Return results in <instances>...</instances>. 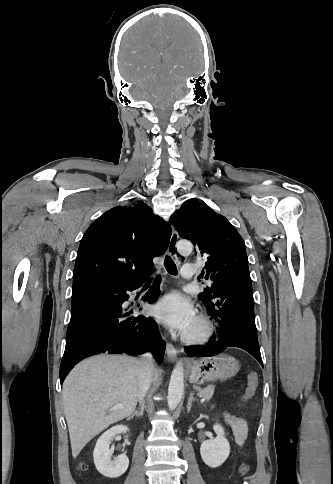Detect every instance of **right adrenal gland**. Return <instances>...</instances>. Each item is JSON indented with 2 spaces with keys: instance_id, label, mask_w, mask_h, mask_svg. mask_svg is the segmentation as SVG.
<instances>
[{
  "instance_id": "obj_1",
  "label": "right adrenal gland",
  "mask_w": 333,
  "mask_h": 484,
  "mask_svg": "<svg viewBox=\"0 0 333 484\" xmlns=\"http://www.w3.org/2000/svg\"><path fill=\"white\" fill-rule=\"evenodd\" d=\"M144 410H145V405H144V403H142V404H141V407H140V410L135 411V412L132 414V416H130V417L128 418V420H129V419H132L134 416H137V417H142V416H143V414H144Z\"/></svg>"
}]
</instances>
